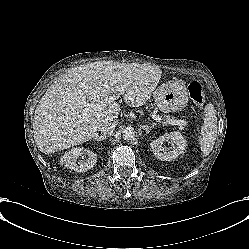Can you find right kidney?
<instances>
[{
	"label": "right kidney",
	"instance_id": "obj_1",
	"mask_svg": "<svg viewBox=\"0 0 249 249\" xmlns=\"http://www.w3.org/2000/svg\"><path fill=\"white\" fill-rule=\"evenodd\" d=\"M77 159V155L66 154L62 157V160L67 164H72ZM94 164H91L90 167H93Z\"/></svg>",
	"mask_w": 249,
	"mask_h": 249
}]
</instances>
